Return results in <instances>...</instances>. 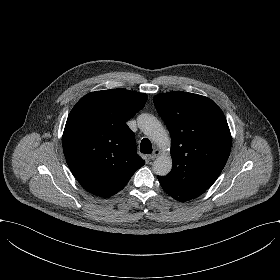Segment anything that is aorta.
I'll return each mask as SVG.
<instances>
[{
	"label": "aorta",
	"instance_id": "obj_1",
	"mask_svg": "<svg viewBox=\"0 0 280 280\" xmlns=\"http://www.w3.org/2000/svg\"><path fill=\"white\" fill-rule=\"evenodd\" d=\"M140 130L159 147H169L170 138L161 122L152 114L142 113L137 117ZM172 169V159L169 154L159 155L153 162V172L159 176H166Z\"/></svg>",
	"mask_w": 280,
	"mask_h": 280
}]
</instances>
